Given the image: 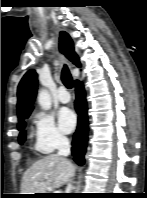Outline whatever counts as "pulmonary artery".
<instances>
[{
    "mask_svg": "<svg viewBox=\"0 0 147 198\" xmlns=\"http://www.w3.org/2000/svg\"><path fill=\"white\" fill-rule=\"evenodd\" d=\"M58 100L61 103H64V104L70 102L71 96L68 93V91L65 89V87H60L59 88V91H58Z\"/></svg>",
    "mask_w": 147,
    "mask_h": 198,
    "instance_id": "pulmonary-artery-1",
    "label": "pulmonary artery"
}]
</instances>
